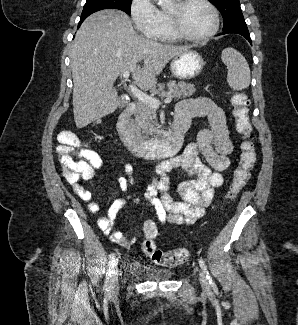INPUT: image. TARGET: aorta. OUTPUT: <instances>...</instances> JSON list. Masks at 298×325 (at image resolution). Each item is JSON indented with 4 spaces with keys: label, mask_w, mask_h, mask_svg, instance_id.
<instances>
[{
    "label": "aorta",
    "mask_w": 298,
    "mask_h": 325,
    "mask_svg": "<svg viewBox=\"0 0 298 325\" xmlns=\"http://www.w3.org/2000/svg\"><path fill=\"white\" fill-rule=\"evenodd\" d=\"M154 2H157L161 8H168V6H172L173 4V0H154Z\"/></svg>",
    "instance_id": "obj_1"
}]
</instances>
